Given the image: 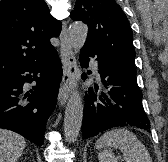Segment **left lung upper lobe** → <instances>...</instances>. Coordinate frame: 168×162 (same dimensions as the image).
Returning <instances> with one entry per match:
<instances>
[{
  "instance_id": "left-lung-upper-lobe-1",
  "label": "left lung upper lobe",
  "mask_w": 168,
  "mask_h": 162,
  "mask_svg": "<svg viewBox=\"0 0 168 162\" xmlns=\"http://www.w3.org/2000/svg\"><path fill=\"white\" fill-rule=\"evenodd\" d=\"M71 18L88 25L83 48H90L136 72L132 29L115 0H77Z\"/></svg>"
}]
</instances>
